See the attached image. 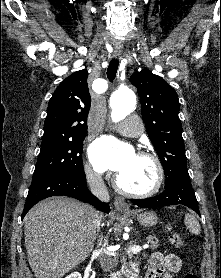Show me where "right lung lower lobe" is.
I'll return each mask as SVG.
<instances>
[{
    "mask_svg": "<svg viewBox=\"0 0 221 278\" xmlns=\"http://www.w3.org/2000/svg\"><path fill=\"white\" fill-rule=\"evenodd\" d=\"M85 179V173L82 176L61 174L30 186L22 218L39 201L57 195L70 196L84 202H90L96 209L108 213L110 211L108 204L101 202L89 192Z\"/></svg>",
    "mask_w": 221,
    "mask_h": 278,
    "instance_id": "1",
    "label": "right lung lower lobe"
}]
</instances>
